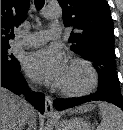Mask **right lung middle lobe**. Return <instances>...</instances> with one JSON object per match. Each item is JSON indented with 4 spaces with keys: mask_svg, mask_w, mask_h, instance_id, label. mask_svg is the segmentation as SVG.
<instances>
[{
    "mask_svg": "<svg viewBox=\"0 0 123 130\" xmlns=\"http://www.w3.org/2000/svg\"><path fill=\"white\" fill-rule=\"evenodd\" d=\"M9 49V44H1V65H5L13 69H19V61L9 53Z\"/></svg>",
    "mask_w": 123,
    "mask_h": 130,
    "instance_id": "1",
    "label": "right lung middle lobe"
}]
</instances>
